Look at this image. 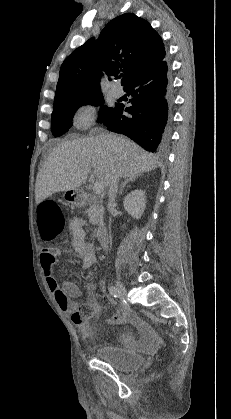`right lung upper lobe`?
Returning a JSON list of instances; mask_svg holds the SVG:
<instances>
[{
  "label": "right lung upper lobe",
  "instance_id": "1",
  "mask_svg": "<svg viewBox=\"0 0 231 419\" xmlns=\"http://www.w3.org/2000/svg\"><path fill=\"white\" fill-rule=\"evenodd\" d=\"M164 44L144 19L126 13L110 21L99 38L89 39L74 50L60 68L54 103L101 92L102 71L108 76L124 73L121 84L161 62Z\"/></svg>",
  "mask_w": 231,
  "mask_h": 419
}]
</instances>
